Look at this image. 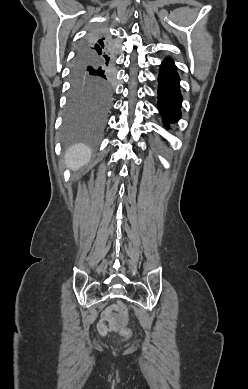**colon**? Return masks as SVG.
<instances>
[{
	"mask_svg": "<svg viewBox=\"0 0 248 389\" xmlns=\"http://www.w3.org/2000/svg\"><path fill=\"white\" fill-rule=\"evenodd\" d=\"M115 308L118 313L119 323L115 321H106L105 323H100V328L106 329H118L122 337L130 339L132 337V331L127 327V322L129 319L128 307L123 302H118L115 305Z\"/></svg>",
	"mask_w": 248,
	"mask_h": 389,
	"instance_id": "obj_1",
	"label": "colon"
}]
</instances>
